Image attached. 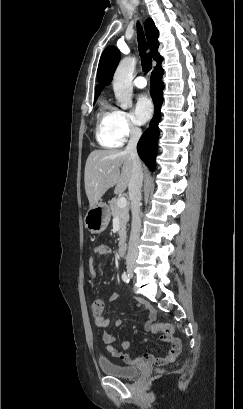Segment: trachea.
<instances>
[{
    "label": "trachea",
    "instance_id": "trachea-1",
    "mask_svg": "<svg viewBox=\"0 0 243 409\" xmlns=\"http://www.w3.org/2000/svg\"><path fill=\"white\" fill-rule=\"evenodd\" d=\"M137 37H138V48L142 62V68L145 73L151 70L152 59L151 54L148 51V46L143 34L142 27L137 23Z\"/></svg>",
    "mask_w": 243,
    "mask_h": 409
}]
</instances>
